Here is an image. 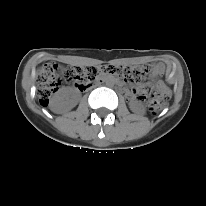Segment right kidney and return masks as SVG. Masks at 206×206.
Masks as SVG:
<instances>
[{"mask_svg": "<svg viewBox=\"0 0 206 206\" xmlns=\"http://www.w3.org/2000/svg\"><path fill=\"white\" fill-rule=\"evenodd\" d=\"M78 101V97L70 89H61L54 95L50 109L54 112L62 113L72 109Z\"/></svg>", "mask_w": 206, "mask_h": 206, "instance_id": "ca27d5eb", "label": "right kidney"}]
</instances>
